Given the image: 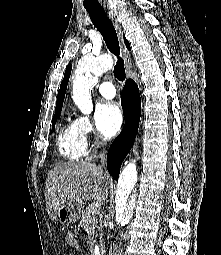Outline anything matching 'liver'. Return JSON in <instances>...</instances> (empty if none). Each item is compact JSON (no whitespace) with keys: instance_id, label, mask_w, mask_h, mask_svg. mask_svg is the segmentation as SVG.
<instances>
[{"instance_id":"1","label":"liver","mask_w":221,"mask_h":255,"mask_svg":"<svg viewBox=\"0 0 221 255\" xmlns=\"http://www.w3.org/2000/svg\"><path fill=\"white\" fill-rule=\"evenodd\" d=\"M109 177L103 168L91 162H67L54 167L45 184L46 207L53 222L58 210L67 202L94 199L104 202L108 197Z\"/></svg>"}]
</instances>
